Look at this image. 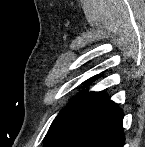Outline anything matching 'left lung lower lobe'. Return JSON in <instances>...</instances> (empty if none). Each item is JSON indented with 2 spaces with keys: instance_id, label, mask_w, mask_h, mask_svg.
<instances>
[{
  "instance_id": "0a47b994",
  "label": "left lung lower lobe",
  "mask_w": 145,
  "mask_h": 147,
  "mask_svg": "<svg viewBox=\"0 0 145 147\" xmlns=\"http://www.w3.org/2000/svg\"><path fill=\"white\" fill-rule=\"evenodd\" d=\"M123 113L103 92L86 93L61 137L45 147H123Z\"/></svg>"
}]
</instances>
